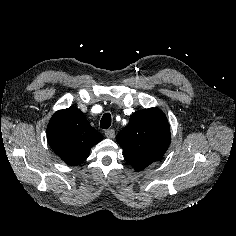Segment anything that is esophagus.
Returning a JSON list of instances; mask_svg holds the SVG:
<instances>
[{"mask_svg":"<svg viewBox=\"0 0 236 236\" xmlns=\"http://www.w3.org/2000/svg\"><path fill=\"white\" fill-rule=\"evenodd\" d=\"M105 136H106L107 138L112 139V138L115 137V131H114L113 129L106 130V131H105Z\"/></svg>","mask_w":236,"mask_h":236,"instance_id":"1","label":"esophagus"}]
</instances>
